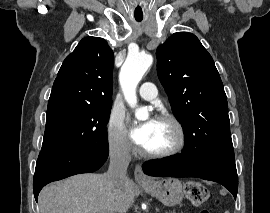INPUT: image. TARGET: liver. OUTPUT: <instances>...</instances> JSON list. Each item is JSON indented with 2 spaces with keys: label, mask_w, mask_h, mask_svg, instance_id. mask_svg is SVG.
Instances as JSON below:
<instances>
[{
  "label": "liver",
  "mask_w": 270,
  "mask_h": 213,
  "mask_svg": "<svg viewBox=\"0 0 270 213\" xmlns=\"http://www.w3.org/2000/svg\"><path fill=\"white\" fill-rule=\"evenodd\" d=\"M135 200V185L127 178L122 188L110 184L106 174H81L42 189L40 213H120Z\"/></svg>",
  "instance_id": "6515ba94"
}]
</instances>
